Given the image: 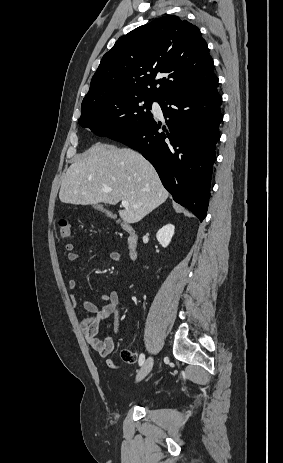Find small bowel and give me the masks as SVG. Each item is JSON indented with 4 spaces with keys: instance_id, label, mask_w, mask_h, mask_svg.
Segmentation results:
<instances>
[{
    "instance_id": "c3829d8e",
    "label": "small bowel",
    "mask_w": 283,
    "mask_h": 463,
    "mask_svg": "<svg viewBox=\"0 0 283 463\" xmlns=\"http://www.w3.org/2000/svg\"><path fill=\"white\" fill-rule=\"evenodd\" d=\"M67 258L70 262H76L78 260V254L74 249L73 244L66 245ZM111 259L118 261L120 256L116 251H112ZM68 287L71 290H75L78 287V281L76 279H70L68 281ZM71 304L77 306V297L75 294L71 295ZM84 310L90 313V316L84 318L81 323V329L84 334L85 340L91 348L98 353L102 358L106 359V365L108 368L116 370L119 368L118 362L110 357V354L114 348L113 335L118 334L122 325V316L120 313V301L117 292L110 291L103 294L101 306H97L95 303L84 299L82 301ZM112 318L113 329L112 335H108L104 339L97 337L98 330L102 321Z\"/></svg>"
}]
</instances>
